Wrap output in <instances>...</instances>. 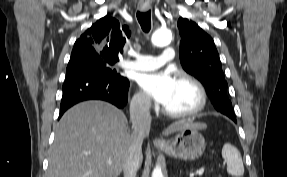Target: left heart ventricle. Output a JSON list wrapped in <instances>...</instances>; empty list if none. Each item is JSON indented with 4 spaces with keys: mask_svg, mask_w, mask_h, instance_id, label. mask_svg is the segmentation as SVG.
I'll use <instances>...</instances> for the list:
<instances>
[{
    "mask_svg": "<svg viewBox=\"0 0 287 177\" xmlns=\"http://www.w3.org/2000/svg\"><path fill=\"white\" fill-rule=\"evenodd\" d=\"M198 103L195 89L184 82L177 80L168 100L163 105L169 111H189Z\"/></svg>",
    "mask_w": 287,
    "mask_h": 177,
    "instance_id": "obj_1",
    "label": "left heart ventricle"
}]
</instances>
